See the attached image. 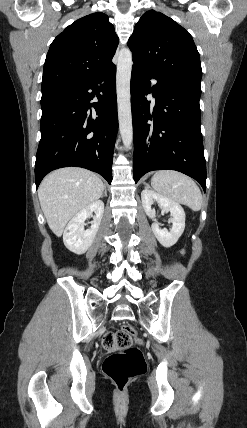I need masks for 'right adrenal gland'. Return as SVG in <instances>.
Masks as SVG:
<instances>
[{
    "label": "right adrenal gland",
    "instance_id": "2a0ac1e0",
    "mask_svg": "<svg viewBox=\"0 0 247 428\" xmlns=\"http://www.w3.org/2000/svg\"><path fill=\"white\" fill-rule=\"evenodd\" d=\"M103 196L107 197V190H106V187L104 188Z\"/></svg>",
    "mask_w": 247,
    "mask_h": 428
}]
</instances>
